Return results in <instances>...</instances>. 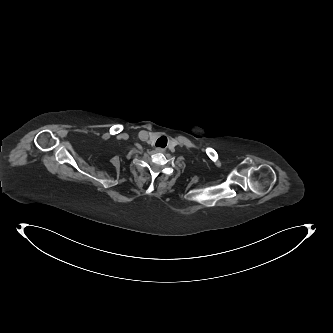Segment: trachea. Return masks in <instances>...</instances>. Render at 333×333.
<instances>
[{"label":"trachea","instance_id":"trachea-1","mask_svg":"<svg viewBox=\"0 0 333 333\" xmlns=\"http://www.w3.org/2000/svg\"><path fill=\"white\" fill-rule=\"evenodd\" d=\"M167 145V137L161 136L157 141H156V146L157 147H162L164 148Z\"/></svg>","mask_w":333,"mask_h":333}]
</instances>
